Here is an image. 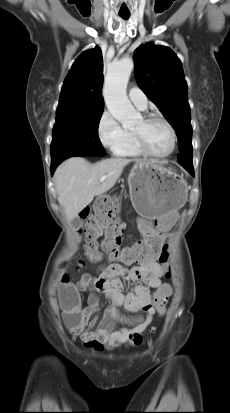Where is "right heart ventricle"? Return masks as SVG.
<instances>
[{
    "mask_svg": "<svg viewBox=\"0 0 230 413\" xmlns=\"http://www.w3.org/2000/svg\"><path fill=\"white\" fill-rule=\"evenodd\" d=\"M143 154L132 132H128V139L117 155L121 157H139Z\"/></svg>",
    "mask_w": 230,
    "mask_h": 413,
    "instance_id": "e07e8e85",
    "label": "right heart ventricle"
}]
</instances>
